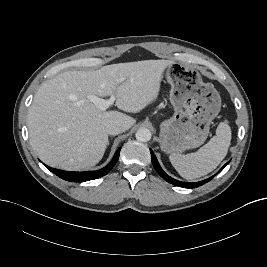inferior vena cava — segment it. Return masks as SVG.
<instances>
[{
    "label": "inferior vena cava",
    "instance_id": "obj_1",
    "mask_svg": "<svg viewBox=\"0 0 267 267\" xmlns=\"http://www.w3.org/2000/svg\"><path fill=\"white\" fill-rule=\"evenodd\" d=\"M125 131V127L119 123H109L107 126H106V132L107 134L109 135H117L119 133H122Z\"/></svg>",
    "mask_w": 267,
    "mask_h": 267
}]
</instances>
